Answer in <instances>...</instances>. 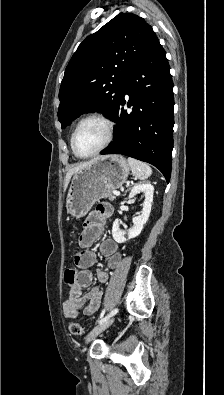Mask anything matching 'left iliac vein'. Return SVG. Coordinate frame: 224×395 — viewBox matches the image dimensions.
Wrapping results in <instances>:
<instances>
[{
	"mask_svg": "<svg viewBox=\"0 0 224 395\" xmlns=\"http://www.w3.org/2000/svg\"><path fill=\"white\" fill-rule=\"evenodd\" d=\"M114 321V318H109L105 320L104 322L96 325L87 335L86 337V343H89L92 341L95 337H97L101 332H103L105 329H107Z\"/></svg>",
	"mask_w": 224,
	"mask_h": 395,
	"instance_id": "4c4485c4",
	"label": "left iliac vein"
}]
</instances>
